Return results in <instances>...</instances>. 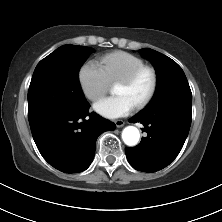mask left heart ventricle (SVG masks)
<instances>
[{
	"label": "left heart ventricle",
	"mask_w": 222,
	"mask_h": 222,
	"mask_svg": "<svg viewBox=\"0 0 222 222\" xmlns=\"http://www.w3.org/2000/svg\"><path fill=\"white\" fill-rule=\"evenodd\" d=\"M151 86V76L149 73H143L138 80L128 86L117 84L114 87V94L127 96L135 105H137L149 92Z\"/></svg>",
	"instance_id": "obj_1"
}]
</instances>
